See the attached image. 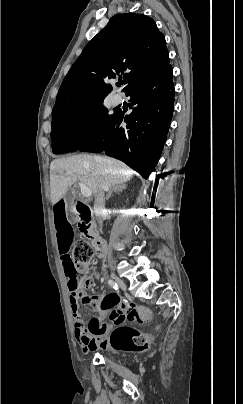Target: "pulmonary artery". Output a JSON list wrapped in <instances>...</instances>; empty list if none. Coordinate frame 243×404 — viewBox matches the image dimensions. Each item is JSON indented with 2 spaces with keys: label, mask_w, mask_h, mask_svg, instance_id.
Masks as SVG:
<instances>
[{
  "label": "pulmonary artery",
  "mask_w": 243,
  "mask_h": 404,
  "mask_svg": "<svg viewBox=\"0 0 243 404\" xmlns=\"http://www.w3.org/2000/svg\"><path fill=\"white\" fill-rule=\"evenodd\" d=\"M115 83H116V80H113V84H115ZM113 102H114V104H116V105L121 104V103L123 102V95L120 94V93H118V92H116V93L114 94V96H113Z\"/></svg>",
  "instance_id": "e3ab8cb5"
}]
</instances>
